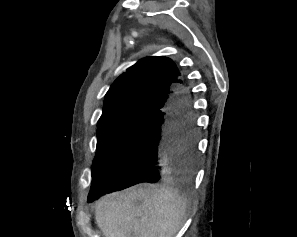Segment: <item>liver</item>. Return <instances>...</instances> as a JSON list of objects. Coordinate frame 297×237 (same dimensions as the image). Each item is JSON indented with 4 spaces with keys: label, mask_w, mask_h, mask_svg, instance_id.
I'll use <instances>...</instances> for the list:
<instances>
[{
    "label": "liver",
    "mask_w": 297,
    "mask_h": 237,
    "mask_svg": "<svg viewBox=\"0 0 297 237\" xmlns=\"http://www.w3.org/2000/svg\"><path fill=\"white\" fill-rule=\"evenodd\" d=\"M188 203L171 187L148 184L105 195L95 218L104 237H174Z\"/></svg>",
    "instance_id": "obj_1"
}]
</instances>
